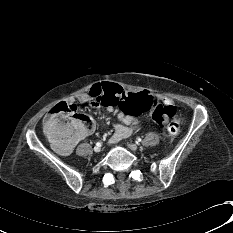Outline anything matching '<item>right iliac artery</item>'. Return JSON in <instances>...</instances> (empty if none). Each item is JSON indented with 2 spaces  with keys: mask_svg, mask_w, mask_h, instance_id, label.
I'll use <instances>...</instances> for the list:
<instances>
[{
  "mask_svg": "<svg viewBox=\"0 0 233 233\" xmlns=\"http://www.w3.org/2000/svg\"><path fill=\"white\" fill-rule=\"evenodd\" d=\"M96 146L100 147V146H101V143H99V142H98V143H96Z\"/></svg>",
  "mask_w": 233,
  "mask_h": 233,
  "instance_id": "82829eb1",
  "label": "right iliac artery"
}]
</instances>
